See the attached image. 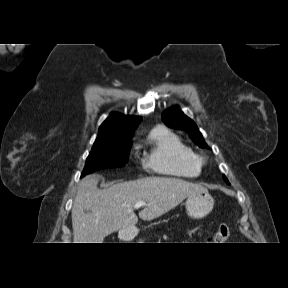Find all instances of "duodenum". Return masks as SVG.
<instances>
[{"mask_svg":"<svg viewBox=\"0 0 288 288\" xmlns=\"http://www.w3.org/2000/svg\"><path fill=\"white\" fill-rule=\"evenodd\" d=\"M120 236H121V239L125 240V241L130 240V238H131V234L129 232H126V231H123L120 234Z\"/></svg>","mask_w":288,"mask_h":288,"instance_id":"1","label":"duodenum"}]
</instances>
